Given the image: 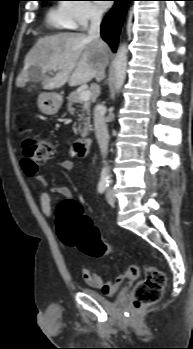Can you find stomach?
<instances>
[{
	"instance_id": "obj_1",
	"label": "stomach",
	"mask_w": 193,
	"mask_h": 349,
	"mask_svg": "<svg viewBox=\"0 0 193 349\" xmlns=\"http://www.w3.org/2000/svg\"><path fill=\"white\" fill-rule=\"evenodd\" d=\"M62 97L55 92H42L38 96V107L46 115L56 114L61 105Z\"/></svg>"
}]
</instances>
